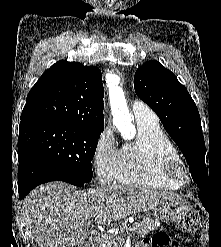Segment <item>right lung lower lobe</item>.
Here are the masks:
<instances>
[{
    "mask_svg": "<svg viewBox=\"0 0 221 247\" xmlns=\"http://www.w3.org/2000/svg\"><path fill=\"white\" fill-rule=\"evenodd\" d=\"M50 181H64L75 186L86 184L67 175L57 166L41 157L25 151L19 152V199H23L36 186Z\"/></svg>",
    "mask_w": 221,
    "mask_h": 247,
    "instance_id": "obj_1",
    "label": "right lung lower lobe"
}]
</instances>
